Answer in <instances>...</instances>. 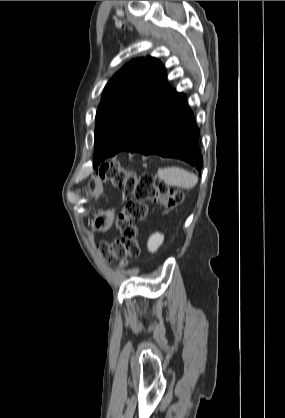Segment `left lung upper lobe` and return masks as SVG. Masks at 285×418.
Listing matches in <instances>:
<instances>
[{
	"mask_svg": "<svg viewBox=\"0 0 285 418\" xmlns=\"http://www.w3.org/2000/svg\"><path fill=\"white\" fill-rule=\"evenodd\" d=\"M163 64L153 57L124 65L107 83L96 113L93 167L122 151L170 92Z\"/></svg>",
	"mask_w": 285,
	"mask_h": 418,
	"instance_id": "5c2ea615",
	"label": "left lung upper lobe"
}]
</instances>
